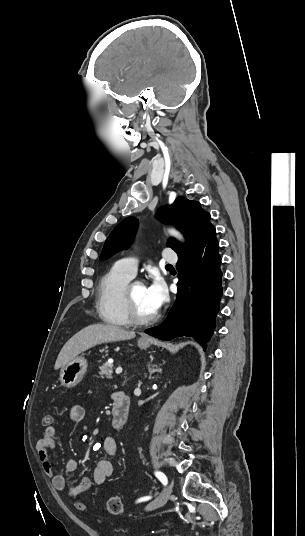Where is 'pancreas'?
I'll list each match as a JSON object with an SVG mask.
<instances>
[{
    "label": "pancreas",
    "instance_id": "obj_1",
    "mask_svg": "<svg viewBox=\"0 0 305 536\" xmlns=\"http://www.w3.org/2000/svg\"><path fill=\"white\" fill-rule=\"evenodd\" d=\"M100 378H113V364H109V362H105L103 366H100V372H98Z\"/></svg>",
    "mask_w": 305,
    "mask_h": 536
}]
</instances>
